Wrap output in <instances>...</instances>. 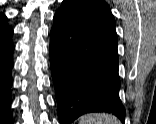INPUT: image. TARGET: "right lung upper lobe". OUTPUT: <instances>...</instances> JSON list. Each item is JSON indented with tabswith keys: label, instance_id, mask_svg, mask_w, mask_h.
Wrapping results in <instances>:
<instances>
[{
	"label": "right lung upper lobe",
	"instance_id": "right-lung-upper-lobe-1",
	"mask_svg": "<svg viewBox=\"0 0 156 124\" xmlns=\"http://www.w3.org/2000/svg\"><path fill=\"white\" fill-rule=\"evenodd\" d=\"M3 25L7 26L8 24H7L5 15L0 13V27H2Z\"/></svg>",
	"mask_w": 156,
	"mask_h": 124
}]
</instances>
